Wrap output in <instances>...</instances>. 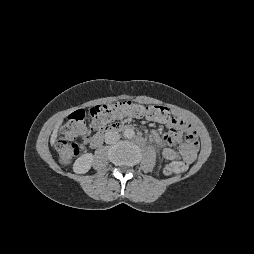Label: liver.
<instances>
[{
	"mask_svg": "<svg viewBox=\"0 0 254 254\" xmlns=\"http://www.w3.org/2000/svg\"><path fill=\"white\" fill-rule=\"evenodd\" d=\"M63 120H60L57 125L55 126L54 130H53V133L51 135V138H50V143L51 145L53 146L56 142V139H57V134H58V129H59V126L61 125Z\"/></svg>",
	"mask_w": 254,
	"mask_h": 254,
	"instance_id": "liver-1",
	"label": "liver"
}]
</instances>
